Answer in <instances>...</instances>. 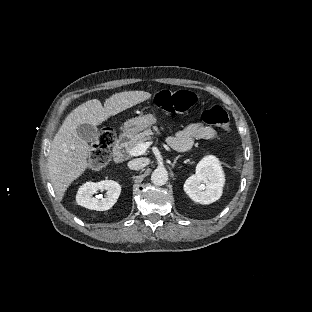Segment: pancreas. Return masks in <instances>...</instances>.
Returning a JSON list of instances; mask_svg holds the SVG:
<instances>
[{
	"label": "pancreas",
	"instance_id": "pancreas-1",
	"mask_svg": "<svg viewBox=\"0 0 312 312\" xmlns=\"http://www.w3.org/2000/svg\"><path fill=\"white\" fill-rule=\"evenodd\" d=\"M153 129L159 133L158 128L155 126ZM151 135L153 132L151 129L144 130L143 132L136 134L132 139L129 141L128 145L126 146V151L130 152L134 147H136L140 143H145V141L151 139Z\"/></svg>",
	"mask_w": 312,
	"mask_h": 312
}]
</instances>
